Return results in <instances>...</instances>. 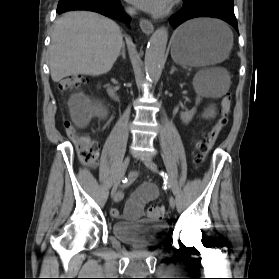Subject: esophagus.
I'll return each mask as SVG.
<instances>
[{"label":"esophagus","instance_id":"esophagus-1","mask_svg":"<svg viewBox=\"0 0 279 279\" xmlns=\"http://www.w3.org/2000/svg\"><path fill=\"white\" fill-rule=\"evenodd\" d=\"M139 25H140L141 30L145 34H151L154 30L153 24L148 19L141 18L139 21Z\"/></svg>","mask_w":279,"mask_h":279}]
</instances>
